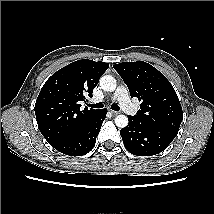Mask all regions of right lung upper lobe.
Wrapping results in <instances>:
<instances>
[{"instance_id":"obj_1","label":"right lung upper lobe","mask_w":214,"mask_h":214,"mask_svg":"<svg viewBox=\"0 0 214 214\" xmlns=\"http://www.w3.org/2000/svg\"><path fill=\"white\" fill-rule=\"evenodd\" d=\"M109 64L83 59L54 73L43 85L35 103L40 132L51 146L65 140L99 110L81 109L80 101L92 96Z\"/></svg>"}]
</instances>
